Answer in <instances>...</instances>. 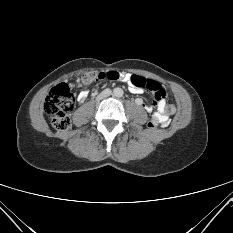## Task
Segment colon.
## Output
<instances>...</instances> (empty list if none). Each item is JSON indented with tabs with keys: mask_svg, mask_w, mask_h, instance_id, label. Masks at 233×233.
Listing matches in <instances>:
<instances>
[{
	"mask_svg": "<svg viewBox=\"0 0 233 233\" xmlns=\"http://www.w3.org/2000/svg\"><path fill=\"white\" fill-rule=\"evenodd\" d=\"M98 73L99 72H87L83 74L80 79L81 84L88 86L96 81L102 80L98 78ZM130 81L134 87L152 93L156 102L165 98L164 89L154 80L146 79L139 75H132ZM74 104V95L67 84L61 83L51 89L49 95L45 99L44 110L50 117L51 124L56 130L66 131L70 128L71 122L68 113L73 109ZM165 111L167 114H173L175 112V106L173 104H167ZM159 124V118L153 116L148 126L149 128H155L159 126Z\"/></svg>",
	"mask_w": 233,
	"mask_h": 233,
	"instance_id": "1",
	"label": "colon"
}]
</instances>
